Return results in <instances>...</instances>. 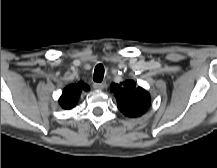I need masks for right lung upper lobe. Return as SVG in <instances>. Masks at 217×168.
I'll return each instance as SVG.
<instances>
[{
  "mask_svg": "<svg viewBox=\"0 0 217 168\" xmlns=\"http://www.w3.org/2000/svg\"><path fill=\"white\" fill-rule=\"evenodd\" d=\"M83 90L87 91L88 86L82 81H79L78 84L68 85L64 89L59 99L60 106L63 109H72L75 106L76 102L78 101L81 91Z\"/></svg>",
  "mask_w": 217,
  "mask_h": 168,
  "instance_id": "obj_1",
  "label": "right lung upper lobe"
}]
</instances>
